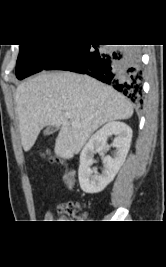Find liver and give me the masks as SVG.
I'll list each match as a JSON object with an SVG mask.
<instances>
[{"label":"liver","mask_w":166,"mask_h":267,"mask_svg":"<svg viewBox=\"0 0 166 267\" xmlns=\"http://www.w3.org/2000/svg\"><path fill=\"white\" fill-rule=\"evenodd\" d=\"M15 101L23 149L32 148L43 127L58 126L54 151L64 159L78 154L103 124L133 115L132 104L112 87L70 72H42L28 79L17 87Z\"/></svg>","instance_id":"obj_1"}]
</instances>
